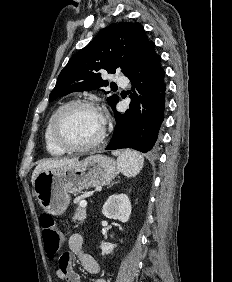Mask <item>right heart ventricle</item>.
<instances>
[{
    "mask_svg": "<svg viewBox=\"0 0 232 282\" xmlns=\"http://www.w3.org/2000/svg\"><path fill=\"white\" fill-rule=\"evenodd\" d=\"M55 113V112H54ZM54 113L52 114V116L49 118L46 128H45V132H44V141H45V147L47 152L52 155V156H62L66 151L62 150L61 148H59L52 140L51 138V134H50V125H51V120L52 117L54 115Z\"/></svg>",
    "mask_w": 232,
    "mask_h": 282,
    "instance_id": "e07e8e85",
    "label": "right heart ventricle"
}]
</instances>
